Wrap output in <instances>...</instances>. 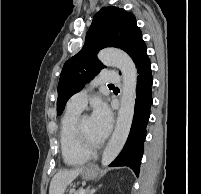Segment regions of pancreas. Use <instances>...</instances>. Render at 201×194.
I'll return each mask as SVG.
<instances>
[{
	"label": "pancreas",
	"mask_w": 201,
	"mask_h": 194,
	"mask_svg": "<svg viewBox=\"0 0 201 194\" xmlns=\"http://www.w3.org/2000/svg\"><path fill=\"white\" fill-rule=\"evenodd\" d=\"M81 189H79L78 191H75L73 194H80Z\"/></svg>",
	"instance_id": "pancreas-1"
}]
</instances>
